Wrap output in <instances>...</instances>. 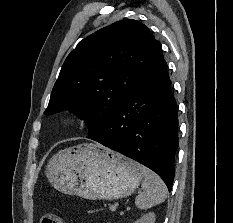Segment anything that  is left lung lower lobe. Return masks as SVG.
<instances>
[{
	"label": "left lung lower lobe",
	"mask_w": 233,
	"mask_h": 223,
	"mask_svg": "<svg viewBox=\"0 0 233 223\" xmlns=\"http://www.w3.org/2000/svg\"><path fill=\"white\" fill-rule=\"evenodd\" d=\"M90 139L150 168L171 191L178 113L162 47L127 101Z\"/></svg>",
	"instance_id": "0a47b994"
}]
</instances>
